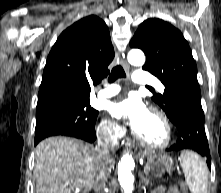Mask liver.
<instances>
[{"label":"liver","mask_w":221,"mask_h":193,"mask_svg":"<svg viewBox=\"0 0 221 193\" xmlns=\"http://www.w3.org/2000/svg\"><path fill=\"white\" fill-rule=\"evenodd\" d=\"M36 193H87L95 184L100 153L96 146L50 137L36 147ZM111 158L110 168L114 166Z\"/></svg>","instance_id":"liver-1"}]
</instances>
